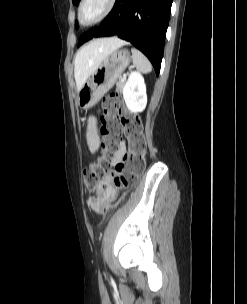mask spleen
Listing matches in <instances>:
<instances>
[{"label": "spleen", "instance_id": "3e777b00", "mask_svg": "<svg viewBox=\"0 0 247 304\" xmlns=\"http://www.w3.org/2000/svg\"><path fill=\"white\" fill-rule=\"evenodd\" d=\"M132 58L133 64L136 69L142 73H150L152 71V66L147 57L138 49L132 48Z\"/></svg>", "mask_w": 247, "mask_h": 304}]
</instances>
